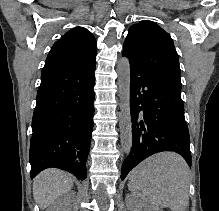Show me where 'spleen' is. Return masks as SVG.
<instances>
[{"label": "spleen", "instance_id": "1", "mask_svg": "<svg viewBox=\"0 0 219 211\" xmlns=\"http://www.w3.org/2000/svg\"><path fill=\"white\" fill-rule=\"evenodd\" d=\"M188 163L175 151H161L129 173L128 187L142 203L185 211L189 203Z\"/></svg>", "mask_w": 219, "mask_h": 211}]
</instances>
